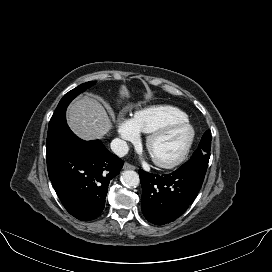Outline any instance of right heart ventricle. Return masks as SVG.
Returning <instances> with one entry per match:
<instances>
[{
	"label": "right heart ventricle",
	"instance_id": "1",
	"mask_svg": "<svg viewBox=\"0 0 272 272\" xmlns=\"http://www.w3.org/2000/svg\"><path fill=\"white\" fill-rule=\"evenodd\" d=\"M180 120H187L182 110L170 105H159L138 111L132 121L138 132L149 134L170 122Z\"/></svg>",
	"mask_w": 272,
	"mask_h": 272
}]
</instances>
